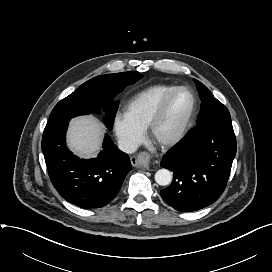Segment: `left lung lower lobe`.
I'll use <instances>...</instances> for the list:
<instances>
[{
	"label": "left lung lower lobe",
	"mask_w": 272,
	"mask_h": 272,
	"mask_svg": "<svg viewBox=\"0 0 272 272\" xmlns=\"http://www.w3.org/2000/svg\"><path fill=\"white\" fill-rule=\"evenodd\" d=\"M235 154L231 117L196 125L163 156L161 166L173 171V181L162 198L183 212L212 204L226 187Z\"/></svg>",
	"instance_id": "left-lung-lower-lobe-1"
}]
</instances>
